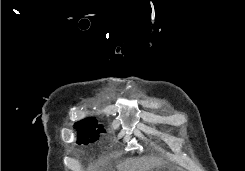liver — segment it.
I'll return each mask as SVG.
<instances>
[{
    "label": "liver",
    "instance_id": "1",
    "mask_svg": "<svg viewBox=\"0 0 245 171\" xmlns=\"http://www.w3.org/2000/svg\"><path fill=\"white\" fill-rule=\"evenodd\" d=\"M165 164V161L158 157L142 156L137 158H126L117 165V171H151Z\"/></svg>",
    "mask_w": 245,
    "mask_h": 171
}]
</instances>
